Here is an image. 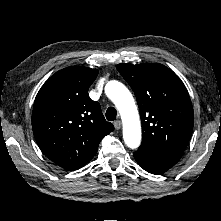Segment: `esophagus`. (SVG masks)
Masks as SVG:
<instances>
[{
	"mask_svg": "<svg viewBox=\"0 0 221 221\" xmlns=\"http://www.w3.org/2000/svg\"><path fill=\"white\" fill-rule=\"evenodd\" d=\"M114 127L116 130H119L121 128V121L117 120L114 122Z\"/></svg>",
	"mask_w": 221,
	"mask_h": 221,
	"instance_id": "obj_1",
	"label": "esophagus"
}]
</instances>
